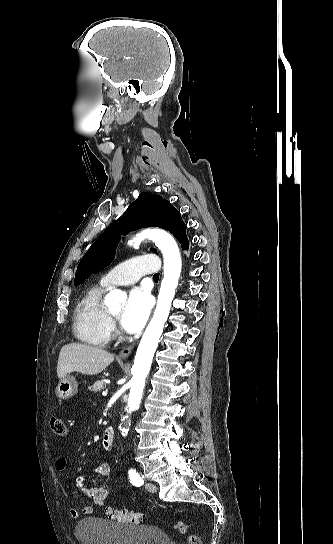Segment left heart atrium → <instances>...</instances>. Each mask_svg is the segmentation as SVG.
<instances>
[{"label": "left heart atrium", "mask_w": 333, "mask_h": 544, "mask_svg": "<svg viewBox=\"0 0 333 544\" xmlns=\"http://www.w3.org/2000/svg\"><path fill=\"white\" fill-rule=\"evenodd\" d=\"M152 307L149 293L143 288L133 289L120 317L122 328L128 333H137L145 325Z\"/></svg>", "instance_id": "left-heart-atrium-1"}]
</instances>
